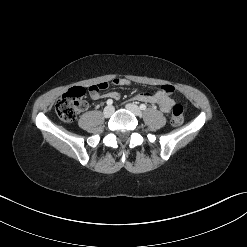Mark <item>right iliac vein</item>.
Masks as SVG:
<instances>
[{
	"mask_svg": "<svg viewBox=\"0 0 247 247\" xmlns=\"http://www.w3.org/2000/svg\"><path fill=\"white\" fill-rule=\"evenodd\" d=\"M114 113V108L112 106H106L103 110L105 117H110Z\"/></svg>",
	"mask_w": 247,
	"mask_h": 247,
	"instance_id": "63e3f726",
	"label": "right iliac vein"
}]
</instances>
